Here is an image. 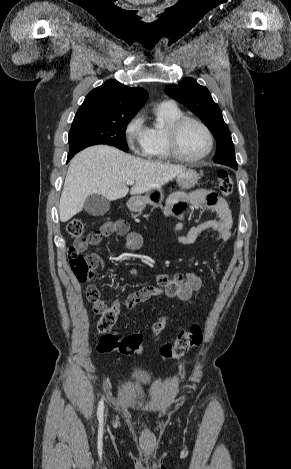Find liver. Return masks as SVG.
Listing matches in <instances>:
<instances>
[{
  "mask_svg": "<svg viewBox=\"0 0 291 469\" xmlns=\"http://www.w3.org/2000/svg\"><path fill=\"white\" fill-rule=\"evenodd\" d=\"M185 170V166L147 161L107 145L86 148L70 162L59 203L60 221L79 213L91 194L114 201L128 194L127 180L136 182L130 190L136 195L161 187Z\"/></svg>",
  "mask_w": 291,
  "mask_h": 469,
  "instance_id": "6515ba94",
  "label": "liver"
}]
</instances>
